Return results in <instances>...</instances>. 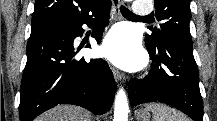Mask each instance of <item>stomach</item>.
I'll return each instance as SVG.
<instances>
[{"label":"stomach","mask_w":217,"mask_h":121,"mask_svg":"<svg viewBox=\"0 0 217 121\" xmlns=\"http://www.w3.org/2000/svg\"><path fill=\"white\" fill-rule=\"evenodd\" d=\"M137 116L141 121H149L150 119V114L146 109L139 110Z\"/></svg>","instance_id":"obj_1"}]
</instances>
